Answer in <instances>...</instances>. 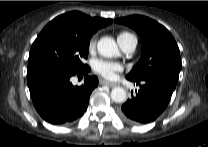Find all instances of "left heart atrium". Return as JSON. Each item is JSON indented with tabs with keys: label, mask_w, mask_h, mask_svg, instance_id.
<instances>
[{
	"label": "left heart atrium",
	"mask_w": 208,
	"mask_h": 147,
	"mask_svg": "<svg viewBox=\"0 0 208 147\" xmlns=\"http://www.w3.org/2000/svg\"><path fill=\"white\" fill-rule=\"evenodd\" d=\"M93 70L107 79L116 78L117 74L123 70V66L114 61L97 59L92 64Z\"/></svg>",
	"instance_id": "obj_1"
}]
</instances>
